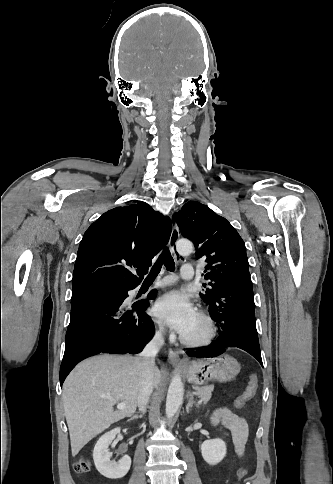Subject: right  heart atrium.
<instances>
[{"mask_svg": "<svg viewBox=\"0 0 333 484\" xmlns=\"http://www.w3.org/2000/svg\"><path fill=\"white\" fill-rule=\"evenodd\" d=\"M162 332H163V328L160 326L157 330V335L158 336H161L162 335Z\"/></svg>", "mask_w": 333, "mask_h": 484, "instance_id": "right-heart-atrium-1", "label": "right heart atrium"}]
</instances>
